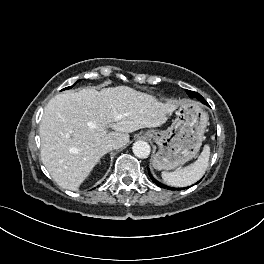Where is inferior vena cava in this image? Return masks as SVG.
Listing matches in <instances>:
<instances>
[{
  "mask_svg": "<svg viewBox=\"0 0 264 264\" xmlns=\"http://www.w3.org/2000/svg\"><path fill=\"white\" fill-rule=\"evenodd\" d=\"M117 148H118V144L114 140H109L103 145V150L107 151V152L114 150V149H117Z\"/></svg>",
  "mask_w": 264,
  "mask_h": 264,
  "instance_id": "602c4592",
  "label": "inferior vena cava"
}]
</instances>
